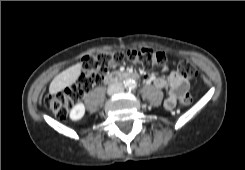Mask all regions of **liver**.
Returning a JSON list of instances; mask_svg holds the SVG:
<instances>
[{
	"label": "liver",
	"mask_w": 245,
	"mask_h": 170,
	"mask_svg": "<svg viewBox=\"0 0 245 170\" xmlns=\"http://www.w3.org/2000/svg\"><path fill=\"white\" fill-rule=\"evenodd\" d=\"M81 63H77L58 74L49 86V93L56 94L76 82L81 74Z\"/></svg>",
	"instance_id": "1"
}]
</instances>
